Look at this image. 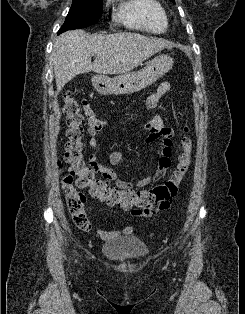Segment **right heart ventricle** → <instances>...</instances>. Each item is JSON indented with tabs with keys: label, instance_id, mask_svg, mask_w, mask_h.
<instances>
[{
	"label": "right heart ventricle",
	"instance_id": "e07e8e85",
	"mask_svg": "<svg viewBox=\"0 0 245 314\" xmlns=\"http://www.w3.org/2000/svg\"><path fill=\"white\" fill-rule=\"evenodd\" d=\"M115 19L129 28L156 34L168 27L167 13L159 0H122Z\"/></svg>",
	"mask_w": 245,
	"mask_h": 314
}]
</instances>
